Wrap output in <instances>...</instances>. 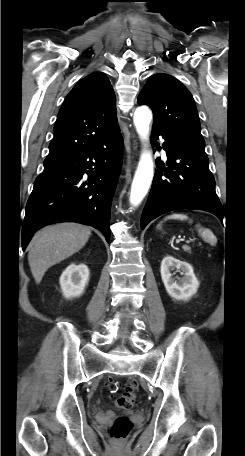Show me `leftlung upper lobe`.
Returning a JSON list of instances; mask_svg holds the SVG:
<instances>
[{
  "label": "left lung upper lobe",
  "mask_w": 245,
  "mask_h": 456,
  "mask_svg": "<svg viewBox=\"0 0 245 456\" xmlns=\"http://www.w3.org/2000/svg\"><path fill=\"white\" fill-rule=\"evenodd\" d=\"M138 104L148 105L153 111V129H167L187 141L204 148L196 105L191 93L176 78L168 74H154L146 82Z\"/></svg>",
  "instance_id": "obj_1"
}]
</instances>
